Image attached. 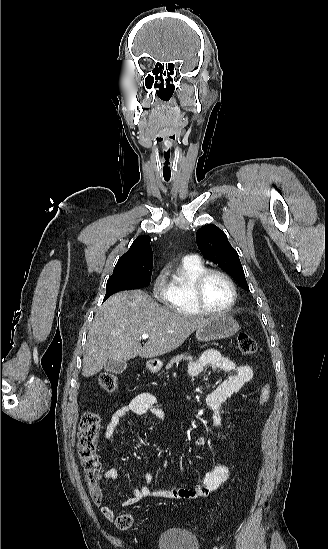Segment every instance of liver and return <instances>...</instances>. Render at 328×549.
<instances>
[{
  "label": "liver",
  "mask_w": 328,
  "mask_h": 549,
  "mask_svg": "<svg viewBox=\"0 0 328 549\" xmlns=\"http://www.w3.org/2000/svg\"><path fill=\"white\" fill-rule=\"evenodd\" d=\"M208 323L204 317H189L155 303L144 291H121L98 309L87 337L83 377H93L107 359L129 361L153 359L171 353ZM141 335H149L141 345Z\"/></svg>",
  "instance_id": "liver-1"
}]
</instances>
